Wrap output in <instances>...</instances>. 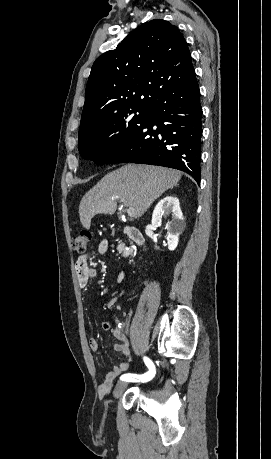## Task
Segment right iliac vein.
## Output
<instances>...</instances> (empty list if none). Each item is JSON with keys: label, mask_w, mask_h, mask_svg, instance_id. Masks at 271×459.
Masks as SVG:
<instances>
[{"label": "right iliac vein", "mask_w": 271, "mask_h": 459, "mask_svg": "<svg viewBox=\"0 0 271 459\" xmlns=\"http://www.w3.org/2000/svg\"><path fill=\"white\" fill-rule=\"evenodd\" d=\"M128 384L124 381H120L118 382V384L116 385L115 389H114V392H113V395L114 397L118 398L123 392L124 390L127 388Z\"/></svg>", "instance_id": "right-iliac-vein-1"}]
</instances>
